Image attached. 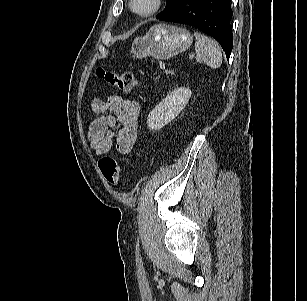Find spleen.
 <instances>
[{
  "label": "spleen",
  "instance_id": "1",
  "mask_svg": "<svg viewBox=\"0 0 307 301\" xmlns=\"http://www.w3.org/2000/svg\"><path fill=\"white\" fill-rule=\"evenodd\" d=\"M196 60L211 68H218L222 64V53L219 45L209 37L195 32Z\"/></svg>",
  "mask_w": 307,
  "mask_h": 301
}]
</instances>
